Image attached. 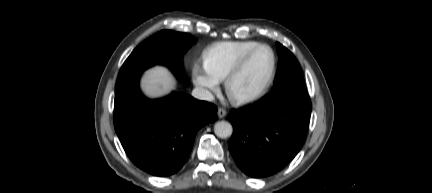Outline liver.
Segmentation results:
<instances>
[{
    "label": "liver",
    "mask_w": 432,
    "mask_h": 193,
    "mask_svg": "<svg viewBox=\"0 0 432 193\" xmlns=\"http://www.w3.org/2000/svg\"><path fill=\"white\" fill-rule=\"evenodd\" d=\"M175 80L164 67L156 66L147 70L142 79L146 94L151 97H160L168 94L174 87Z\"/></svg>",
    "instance_id": "obj_1"
}]
</instances>
